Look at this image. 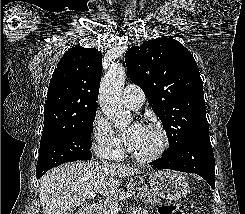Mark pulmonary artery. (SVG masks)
<instances>
[{"label": "pulmonary artery", "mask_w": 245, "mask_h": 214, "mask_svg": "<svg viewBox=\"0 0 245 214\" xmlns=\"http://www.w3.org/2000/svg\"><path fill=\"white\" fill-rule=\"evenodd\" d=\"M144 100V92L138 85L129 84L123 90V102L131 109H139Z\"/></svg>", "instance_id": "pulmonary-artery-1"}]
</instances>
